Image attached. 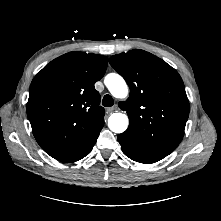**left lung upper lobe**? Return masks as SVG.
I'll list each match as a JSON object with an SVG mask.
<instances>
[{
    "label": "left lung upper lobe",
    "mask_w": 221,
    "mask_h": 221,
    "mask_svg": "<svg viewBox=\"0 0 221 221\" xmlns=\"http://www.w3.org/2000/svg\"><path fill=\"white\" fill-rule=\"evenodd\" d=\"M111 66L125 79L130 96L126 132L142 147L169 155L180 144L189 116V101L178 72L157 56L131 50L114 55Z\"/></svg>",
    "instance_id": "1"
}]
</instances>
